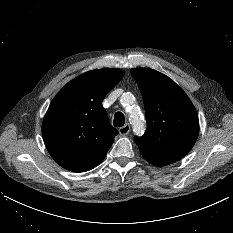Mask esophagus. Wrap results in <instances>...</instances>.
Returning a JSON list of instances; mask_svg holds the SVG:
<instances>
[{"mask_svg": "<svg viewBox=\"0 0 233 233\" xmlns=\"http://www.w3.org/2000/svg\"><path fill=\"white\" fill-rule=\"evenodd\" d=\"M130 132V125L125 124L124 126L119 128V133L122 136H126Z\"/></svg>", "mask_w": 233, "mask_h": 233, "instance_id": "1", "label": "esophagus"}]
</instances>
